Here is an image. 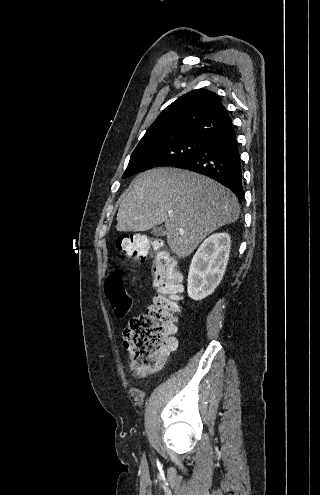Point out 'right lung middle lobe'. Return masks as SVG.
Listing matches in <instances>:
<instances>
[{
	"label": "right lung middle lobe",
	"mask_w": 320,
	"mask_h": 495,
	"mask_svg": "<svg viewBox=\"0 0 320 495\" xmlns=\"http://www.w3.org/2000/svg\"><path fill=\"white\" fill-rule=\"evenodd\" d=\"M205 142L204 138H185L150 146H137L123 178L153 167L174 166L191 158Z\"/></svg>",
	"instance_id": "obj_1"
}]
</instances>
